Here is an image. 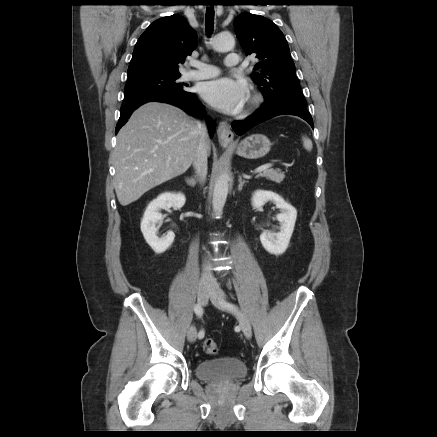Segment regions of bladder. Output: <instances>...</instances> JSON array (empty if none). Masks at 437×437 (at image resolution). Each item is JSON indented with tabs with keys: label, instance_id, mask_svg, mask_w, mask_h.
<instances>
[{
	"label": "bladder",
	"instance_id": "obj_1",
	"mask_svg": "<svg viewBox=\"0 0 437 437\" xmlns=\"http://www.w3.org/2000/svg\"><path fill=\"white\" fill-rule=\"evenodd\" d=\"M196 376L207 381H233L245 377L247 367L237 358L223 357L200 361L195 368Z\"/></svg>",
	"mask_w": 437,
	"mask_h": 437
}]
</instances>
